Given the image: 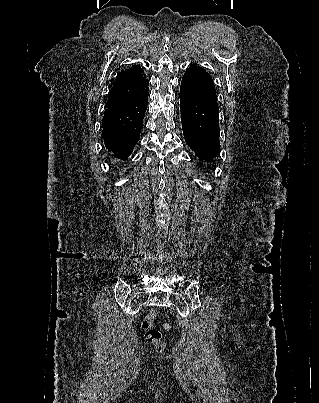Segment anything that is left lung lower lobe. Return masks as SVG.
I'll use <instances>...</instances> for the list:
<instances>
[{"label":"left lung lower lobe","mask_w":319,"mask_h":403,"mask_svg":"<svg viewBox=\"0 0 319 403\" xmlns=\"http://www.w3.org/2000/svg\"><path fill=\"white\" fill-rule=\"evenodd\" d=\"M184 139L198 158L207 163L219 153V108L210 74L202 67L187 68L180 87Z\"/></svg>","instance_id":"1"}]
</instances>
